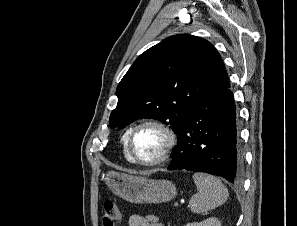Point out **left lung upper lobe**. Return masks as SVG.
Returning a JSON list of instances; mask_svg holds the SVG:
<instances>
[{
	"instance_id": "obj_1",
	"label": "left lung upper lobe",
	"mask_w": 297,
	"mask_h": 226,
	"mask_svg": "<svg viewBox=\"0 0 297 226\" xmlns=\"http://www.w3.org/2000/svg\"><path fill=\"white\" fill-rule=\"evenodd\" d=\"M222 59L207 40L171 36L141 54L120 81L110 127L153 118L177 134L198 101L210 90L229 87Z\"/></svg>"
}]
</instances>
